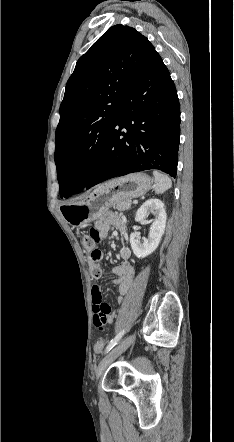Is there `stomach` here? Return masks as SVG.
<instances>
[{
  "mask_svg": "<svg viewBox=\"0 0 234 442\" xmlns=\"http://www.w3.org/2000/svg\"><path fill=\"white\" fill-rule=\"evenodd\" d=\"M151 186L152 179L147 174L132 173L95 187L83 200L61 206V212L71 225L86 224L113 204L144 195Z\"/></svg>",
  "mask_w": 234,
  "mask_h": 442,
  "instance_id": "0dacf381",
  "label": "stomach"
}]
</instances>
